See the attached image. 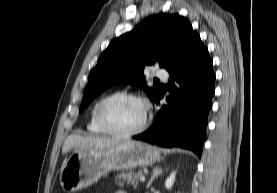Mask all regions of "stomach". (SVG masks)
<instances>
[{
    "label": "stomach",
    "instance_id": "1",
    "mask_svg": "<svg viewBox=\"0 0 277 193\" xmlns=\"http://www.w3.org/2000/svg\"><path fill=\"white\" fill-rule=\"evenodd\" d=\"M160 159L158 149L144 142L125 140L107 149H75L60 171V184L67 193L98 181L112 170H132Z\"/></svg>",
    "mask_w": 277,
    "mask_h": 193
}]
</instances>
